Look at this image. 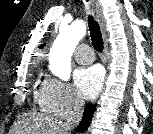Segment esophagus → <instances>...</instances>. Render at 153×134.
Instances as JSON below:
<instances>
[{"label": "esophagus", "instance_id": "1", "mask_svg": "<svg viewBox=\"0 0 153 134\" xmlns=\"http://www.w3.org/2000/svg\"><path fill=\"white\" fill-rule=\"evenodd\" d=\"M95 9H96V16H97V21L99 23L103 41H104V56L106 57L107 52H108V44H107V39H106V32H105V19L103 15V6L100 2V0H95Z\"/></svg>", "mask_w": 153, "mask_h": 134}]
</instances>
